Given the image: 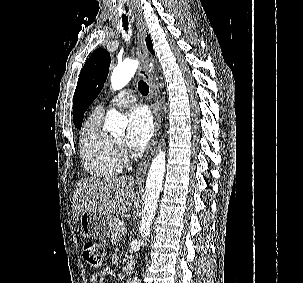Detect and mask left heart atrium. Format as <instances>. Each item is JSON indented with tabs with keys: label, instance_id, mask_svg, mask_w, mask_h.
<instances>
[{
	"label": "left heart atrium",
	"instance_id": "39dd6f15",
	"mask_svg": "<svg viewBox=\"0 0 303 283\" xmlns=\"http://www.w3.org/2000/svg\"><path fill=\"white\" fill-rule=\"evenodd\" d=\"M128 127L126 143L133 150H140L146 146L153 132L150 113L145 107H133L127 115Z\"/></svg>",
	"mask_w": 303,
	"mask_h": 283
}]
</instances>
